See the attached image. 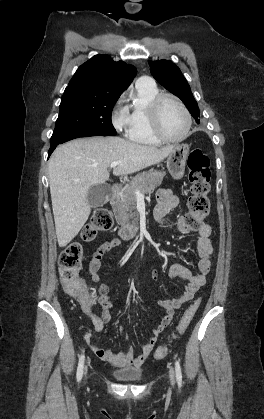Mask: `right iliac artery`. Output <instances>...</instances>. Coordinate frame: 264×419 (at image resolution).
Segmentation results:
<instances>
[{
	"mask_svg": "<svg viewBox=\"0 0 264 419\" xmlns=\"http://www.w3.org/2000/svg\"><path fill=\"white\" fill-rule=\"evenodd\" d=\"M84 354H81L79 357L78 368H77V380L80 381L83 375V367H84Z\"/></svg>",
	"mask_w": 264,
	"mask_h": 419,
	"instance_id": "right-iliac-artery-1",
	"label": "right iliac artery"
}]
</instances>
